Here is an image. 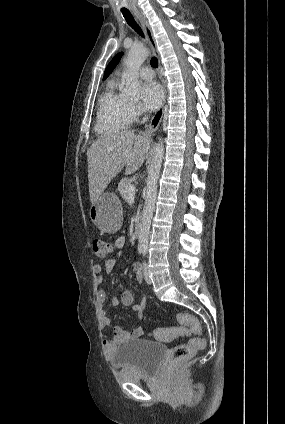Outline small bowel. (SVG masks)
Returning <instances> with one entry per match:
<instances>
[{
	"mask_svg": "<svg viewBox=\"0 0 285 424\" xmlns=\"http://www.w3.org/2000/svg\"><path fill=\"white\" fill-rule=\"evenodd\" d=\"M126 245V239L125 237H118L115 241V248L117 249V256L114 258H110L106 260L104 263V266L101 265H95L94 266V272L97 275V284H98V290H97V302L99 305V308L101 310V318H102V324L104 327H108L111 324V320L106 314L105 306L107 304V294L104 288L102 287L103 282V273H111L114 268L116 267L123 251ZM132 269L134 272L137 273V282L140 283L142 280L141 277V265L140 263H134L132 265ZM134 298L133 294L125 289L123 286H118L116 288V293L111 298V304L113 306H119L122 304L125 307L132 306L133 311L136 313L137 317L139 319H142L145 312V300H143L141 303L133 304ZM143 334V328L140 324L135 325V327L127 331L121 326H115L112 330V337L111 338H105L102 342V349L104 354L111 355L115 351L116 347L120 344L131 340L139 338ZM189 335V331H185V335Z\"/></svg>",
	"mask_w": 285,
	"mask_h": 424,
	"instance_id": "obj_1",
	"label": "small bowel"
}]
</instances>
